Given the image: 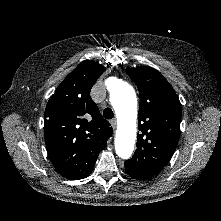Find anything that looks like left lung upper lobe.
<instances>
[{"label": "left lung upper lobe", "instance_id": "obj_1", "mask_svg": "<svg viewBox=\"0 0 221 221\" xmlns=\"http://www.w3.org/2000/svg\"><path fill=\"white\" fill-rule=\"evenodd\" d=\"M140 93L137 149L125 161L129 175L148 179L170 161L180 135L181 104L170 83L154 68L126 69Z\"/></svg>", "mask_w": 221, "mask_h": 221}]
</instances>
